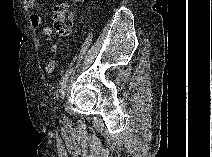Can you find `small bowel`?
<instances>
[{"mask_svg":"<svg viewBox=\"0 0 212 157\" xmlns=\"http://www.w3.org/2000/svg\"><path fill=\"white\" fill-rule=\"evenodd\" d=\"M38 3H39V0H26L24 2V7L27 10H33L37 7ZM30 22H31V25L34 28H40L41 24H42V19L38 14H31ZM42 34H43L44 39L46 41L50 42V45H49L50 52H52V53L57 52L58 46L55 42H53V29H52V27L43 26L42 27ZM54 69H55V62L53 60H51L46 65L47 74H49V75L52 74Z\"/></svg>","mask_w":212,"mask_h":157,"instance_id":"small-bowel-1","label":"small bowel"}]
</instances>
